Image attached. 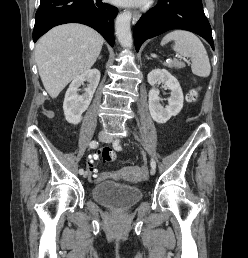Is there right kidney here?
Here are the masks:
<instances>
[{
    "instance_id": "1",
    "label": "right kidney",
    "mask_w": 248,
    "mask_h": 258,
    "mask_svg": "<svg viewBox=\"0 0 248 258\" xmlns=\"http://www.w3.org/2000/svg\"><path fill=\"white\" fill-rule=\"evenodd\" d=\"M89 85L83 95H78V88L84 83ZM100 81V71L90 69L76 77L66 91L63 110L65 119L71 124H78L82 120V114L89 107L95 90Z\"/></svg>"
}]
</instances>
